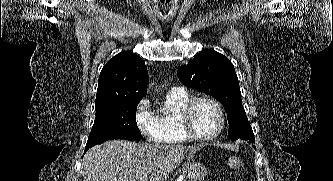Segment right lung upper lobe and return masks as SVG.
Returning a JSON list of instances; mask_svg holds the SVG:
<instances>
[{
  "instance_id": "right-lung-upper-lobe-1",
  "label": "right lung upper lobe",
  "mask_w": 333,
  "mask_h": 181,
  "mask_svg": "<svg viewBox=\"0 0 333 181\" xmlns=\"http://www.w3.org/2000/svg\"><path fill=\"white\" fill-rule=\"evenodd\" d=\"M148 72L140 56L122 52L103 67L95 109L141 100L147 93Z\"/></svg>"
}]
</instances>
